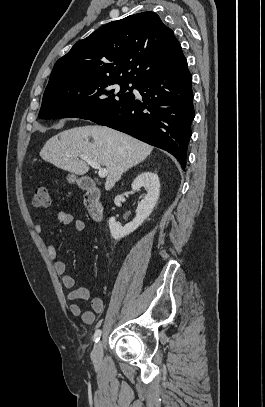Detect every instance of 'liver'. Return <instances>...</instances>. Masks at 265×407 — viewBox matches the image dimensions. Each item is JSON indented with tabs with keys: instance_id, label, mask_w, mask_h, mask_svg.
Listing matches in <instances>:
<instances>
[{
	"instance_id": "1",
	"label": "liver",
	"mask_w": 265,
	"mask_h": 407,
	"mask_svg": "<svg viewBox=\"0 0 265 407\" xmlns=\"http://www.w3.org/2000/svg\"><path fill=\"white\" fill-rule=\"evenodd\" d=\"M153 147L106 126L86 125L65 130L50 138L40 151L43 160L76 175H84L89 165L80 155L108 170L105 189L110 190L130 168L144 161Z\"/></svg>"
}]
</instances>
